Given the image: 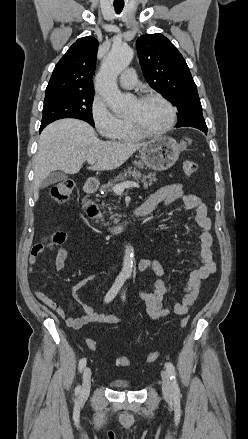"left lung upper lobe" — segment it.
Wrapping results in <instances>:
<instances>
[{"label":"left lung upper lobe","instance_id":"left-lung-upper-lobe-1","mask_svg":"<svg viewBox=\"0 0 248 439\" xmlns=\"http://www.w3.org/2000/svg\"><path fill=\"white\" fill-rule=\"evenodd\" d=\"M136 46L146 81L176 105L177 127H207L196 84L177 48L162 34L141 36Z\"/></svg>","mask_w":248,"mask_h":439}]
</instances>
